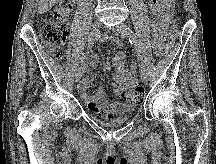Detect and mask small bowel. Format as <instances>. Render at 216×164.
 <instances>
[{"mask_svg": "<svg viewBox=\"0 0 216 164\" xmlns=\"http://www.w3.org/2000/svg\"><path fill=\"white\" fill-rule=\"evenodd\" d=\"M174 3L175 0H151V9L154 14L151 20L153 46L158 53H160L163 48L165 31L174 10ZM93 64L94 62L92 60H88L84 64L83 69L87 70ZM112 66L116 82L112 86V90L115 95L120 97L118 102H108L102 87L91 93L89 92L93 83L92 75L85 77L78 86L81 99L88 110L104 119L112 118L130 109V106L125 100V95L126 92L137 83L136 64L131 63L129 67H126L125 54L123 51L119 50L116 52L112 60Z\"/></svg>", "mask_w": 216, "mask_h": 164, "instance_id": "1", "label": "small bowel"}]
</instances>
